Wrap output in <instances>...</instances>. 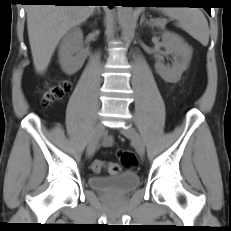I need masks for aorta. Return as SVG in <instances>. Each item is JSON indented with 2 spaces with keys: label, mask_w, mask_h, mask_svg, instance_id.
<instances>
[{
  "label": "aorta",
  "mask_w": 231,
  "mask_h": 231,
  "mask_svg": "<svg viewBox=\"0 0 231 231\" xmlns=\"http://www.w3.org/2000/svg\"><path fill=\"white\" fill-rule=\"evenodd\" d=\"M117 15H118L120 24L125 30V34H127L130 21L132 18V7L117 6Z\"/></svg>",
  "instance_id": "obj_1"
}]
</instances>
